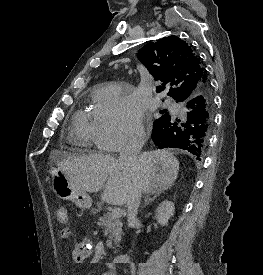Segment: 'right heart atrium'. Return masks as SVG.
<instances>
[{"instance_id":"1","label":"right heart atrium","mask_w":263,"mask_h":275,"mask_svg":"<svg viewBox=\"0 0 263 275\" xmlns=\"http://www.w3.org/2000/svg\"><path fill=\"white\" fill-rule=\"evenodd\" d=\"M95 142L104 151H120L144 137L143 110L131 89L106 87L97 95Z\"/></svg>"}]
</instances>
